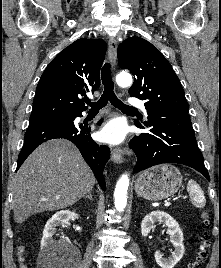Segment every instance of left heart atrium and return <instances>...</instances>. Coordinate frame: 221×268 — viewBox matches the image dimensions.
<instances>
[{
  "instance_id": "obj_1",
  "label": "left heart atrium",
  "mask_w": 221,
  "mask_h": 268,
  "mask_svg": "<svg viewBox=\"0 0 221 268\" xmlns=\"http://www.w3.org/2000/svg\"><path fill=\"white\" fill-rule=\"evenodd\" d=\"M125 138V127L123 123L117 119H113L105 123L98 132V139L108 144H119Z\"/></svg>"
}]
</instances>
